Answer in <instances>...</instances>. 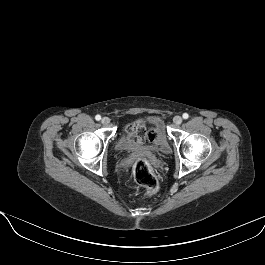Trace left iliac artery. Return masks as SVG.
Returning a JSON list of instances; mask_svg holds the SVG:
<instances>
[{"label":"left iliac artery","mask_w":265,"mask_h":265,"mask_svg":"<svg viewBox=\"0 0 265 265\" xmlns=\"http://www.w3.org/2000/svg\"><path fill=\"white\" fill-rule=\"evenodd\" d=\"M182 116L184 119H188V117H189V115L187 113H184Z\"/></svg>","instance_id":"obj_1"}]
</instances>
